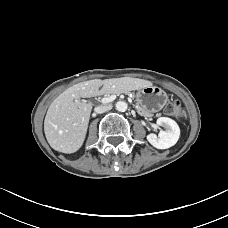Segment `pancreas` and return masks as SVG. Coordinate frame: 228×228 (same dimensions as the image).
I'll return each mask as SVG.
<instances>
[{"mask_svg": "<svg viewBox=\"0 0 228 228\" xmlns=\"http://www.w3.org/2000/svg\"><path fill=\"white\" fill-rule=\"evenodd\" d=\"M112 93L113 94L117 93L120 95L129 96V98L133 100V107L136 109V111L139 114L147 116V117H153L154 116L153 112L146 111L138 105V103L136 102V99H135L134 92L120 90L119 93L118 92H112ZM108 94H110V93H108Z\"/></svg>", "mask_w": 228, "mask_h": 228, "instance_id": "obj_1", "label": "pancreas"}]
</instances>
